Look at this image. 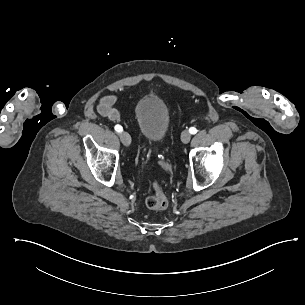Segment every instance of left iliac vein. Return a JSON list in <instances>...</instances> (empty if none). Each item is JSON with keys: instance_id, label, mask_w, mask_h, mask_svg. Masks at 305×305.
<instances>
[{"instance_id": "1", "label": "left iliac vein", "mask_w": 305, "mask_h": 305, "mask_svg": "<svg viewBox=\"0 0 305 305\" xmlns=\"http://www.w3.org/2000/svg\"><path fill=\"white\" fill-rule=\"evenodd\" d=\"M191 139V134L189 131H183L181 134V140L184 143H188Z\"/></svg>"}]
</instances>
